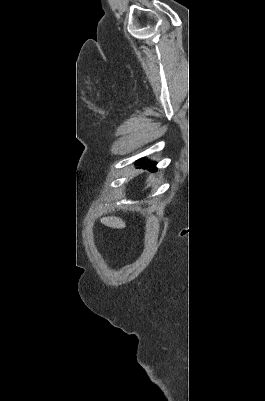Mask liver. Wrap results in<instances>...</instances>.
<instances>
[{"label": "liver", "mask_w": 265, "mask_h": 401, "mask_svg": "<svg viewBox=\"0 0 265 401\" xmlns=\"http://www.w3.org/2000/svg\"><path fill=\"white\" fill-rule=\"evenodd\" d=\"M101 223L108 225V227H113V229H125L126 227L120 217H104V219H101Z\"/></svg>", "instance_id": "obj_1"}]
</instances>
